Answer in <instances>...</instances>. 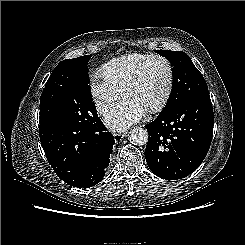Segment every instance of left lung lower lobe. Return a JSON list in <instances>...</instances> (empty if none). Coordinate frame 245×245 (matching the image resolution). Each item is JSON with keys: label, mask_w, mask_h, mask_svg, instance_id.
<instances>
[{"label": "left lung lower lobe", "mask_w": 245, "mask_h": 245, "mask_svg": "<svg viewBox=\"0 0 245 245\" xmlns=\"http://www.w3.org/2000/svg\"><path fill=\"white\" fill-rule=\"evenodd\" d=\"M214 113L209 93L196 94L147 124L145 158L158 177H187L202 163L210 148Z\"/></svg>", "instance_id": "1"}]
</instances>
